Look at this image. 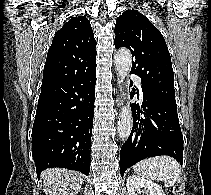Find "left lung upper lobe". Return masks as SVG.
<instances>
[{
  "instance_id": "5c2ea615",
  "label": "left lung upper lobe",
  "mask_w": 211,
  "mask_h": 195,
  "mask_svg": "<svg viewBox=\"0 0 211 195\" xmlns=\"http://www.w3.org/2000/svg\"><path fill=\"white\" fill-rule=\"evenodd\" d=\"M115 48L132 53L131 73L142 87L176 104L171 57L160 31L140 12L126 10L116 19Z\"/></svg>"
}]
</instances>
